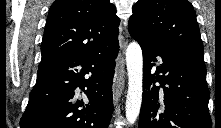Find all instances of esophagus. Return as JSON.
I'll use <instances>...</instances> for the list:
<instances>
[{
  "instance_id": "34e87169",
  "label": "esophagus",
  "mask_w": 221,
  "mask_h": 128,
  "mask_svg": "<svg viewBox=\"0 0 221 128\" xmlns=\"http://www.w3.org/2000/svg\"><path fill=\"white\" fill-rule=\"evenodd\" d=\"M124 77H125V65L124 59L121 54H119L116 60V68L115 75L113 79V102L114 105H117L120 97L122 95L123 87H124Z\"/></svg>"
}]
</instances>
